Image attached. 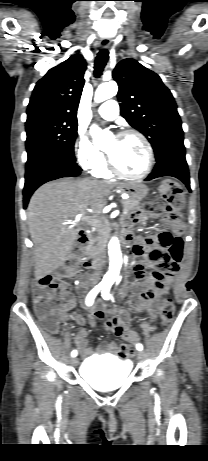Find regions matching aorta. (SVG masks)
I'll return each mask as SVG.
<instances>
[{
	"mask_svg": "<svg viewBox=\"0 0 208 461\" xmlns=\"http://www.w3.org/2000/svg\"><path fill=\"white\" fill-rule=\"evenodd\" d=\"M118 92V86L116 82H107L98 86L95 91L94 101L96 103L104 102L114 97ZM90 135L93 139V144L96 148L101 149L106 143L109 137V132L102 130L97 125L93 124L90 127ZM109 254V270L106 273L104 279L108 282H114L120 273L122 267V252L120 250L119 239L114 236L110 239L108 244Z\"/></svg>",
	"mask_w": 208,
	"mask_h": 461,
	"instance_id": "762f6f07",
	"label": "aorta"
}]
</instances>
